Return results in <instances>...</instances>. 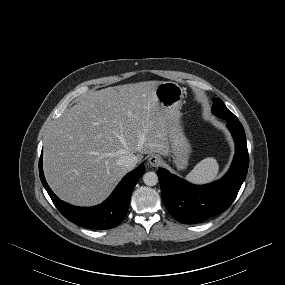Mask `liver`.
<instances>
[{
  "instance_id": "1",
  "label": "liver",
  "mask_w": 285,
  "mask_h": 285,
  "mask_svg": "<svg viewBox=\"0 0 285 285\" xmlns=\"http://www.w3.org/2000/svg\"><path fill=\"white\" fill-rule=\"evenodd\" d=\"M160 81L108 87L80 97L48 130L46 180L63 201L103 202L128 172L123 157L169 154V117L158 102Z\"/></svg>"
}]
</instances>
